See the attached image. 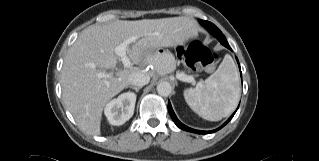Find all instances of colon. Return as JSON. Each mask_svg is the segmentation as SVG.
I'll list each match as a JSON object with an SVG mask.
<instances>
[{
	"instance_id": "colon-1",
	"label": "colon",
	"mask_w": 319,
	"mask_h": 161,
	"mask_svg": "<svg viewBox=\"0 0 319 161\" xmlns=\"http://www.w3.org/2000/svg\"><path fill=\"white\" fill-rule=\"evenodd\" d=\"M177 54L182 63L190 71L211 69L216 60V54L205 48L198 40H191L179 46Z\"/></svg>"
}]
</instances>
